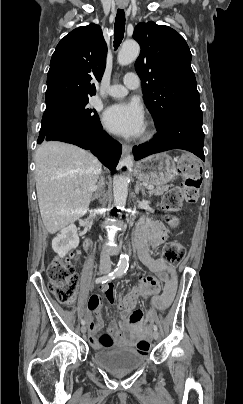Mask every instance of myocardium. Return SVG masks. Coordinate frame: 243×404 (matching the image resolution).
<instances>
[{
  "label": "myocardium",
  "instance_id": "myocardium-1",
  "mask_svg": "<svg viewBox=\"0 0 243 404\" xmlns=\"http://www.w3.org/2000/svg\"><path fill=\"white\" fill-rule=\"evenodd\" d=\"M155 133H156L155 127L151 124L141 140L149 141L154 137Z\"/></svg>",
  "mask_w": 243,
  "mask_h": 404
}]
</instances>
